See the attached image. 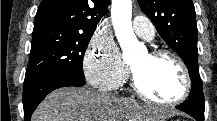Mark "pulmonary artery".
<instances>
[{"label":"pulmonary artery","mask_w":217,"mask_h":121,"mask_svg":"<svg viewBox=\"0 0 217 121\" xmlns=\"http://www.w3.org/2000/svg\"><path fill=\"white\" fill-rule=\"evenodd\" d=\"M133 28L138 36L146 40H152L155 35V28L151 21L144 16H135Z\"/></svg>","instance_id":"obj_1"}]
</instances>
